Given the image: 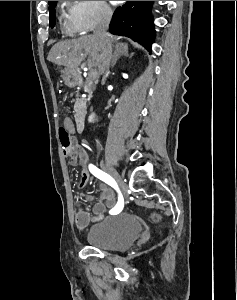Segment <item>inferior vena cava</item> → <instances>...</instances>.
<instances>
[{"instance_id": "1", "label": "inferior vena cava", "mask_w": 237, "mask_h": 300, "mask_svg": "<svg viewBox=\"0 0 237 300\" xmlns=\"http://www.w3.org/2000/svg\"><path fill=\"white\" fill-rule=\"evenodd\" d=\"M112 15L113 13L111 9H109L107 5H102L100 19L93 35V37H96V39H100L102 49H106V37L108 35L107 29L112 19ZM102 57L103 59H106V53H102ZM103 71H106V69H103Z\"/></svg>"}]
</instances>
